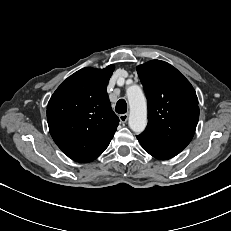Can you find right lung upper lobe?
<instances>
[{
  "instance_id": "1",
  "label": "right lung upper lobe",
  "mask_w": 231,
  "mask_h": 231,
  "mask_svg": "<svg viewBox=\"0 0 231 231\" xmlns=\"http://www.w3.org/2000/svg\"><path fill=\"white\" fill-rule=\"evenodd\" d=\"M114 65L83 68L68 77L47 106L50 134L71 159L87 163L108 147L119 124L107 95Z\"/></svg>"
}]
</instances>
